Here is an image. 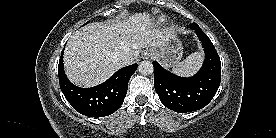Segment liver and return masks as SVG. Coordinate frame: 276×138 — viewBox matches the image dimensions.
Returning <instances> with one entry per match:
<instances>
[{"label": "liver", "instance_id": "liver-1", "mask_svg": "<svg viewBox=\"0 0 276 138\" xmlns=\"http://www.w3.org/2000/svg\"><path fill=\"white\" fill-rule=\"evenodd\" d=\"M174 34L172 28H157L147 12L88 24L76 31L66 44L65 73L75 85H98L123 66L118 61L121 52H130L135 60L143 48H160Z\"/></svg>", "mask_w": 276, "mask_h": 138}]
</instances>
